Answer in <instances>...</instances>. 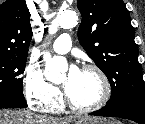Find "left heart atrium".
I'll use <instances>...</instances> for the list:
<instances>
[{"instance_id":"1","label":"left heart atrium","mask_w":145,"mask_h":124,"mask_svg":"<svg viewBox=\"0 0 145 124\" xmlns=\"http://www.w3.org/2000/svg\"><path fill=\"white\" fill-rule=\"evenodd\" d=\"M79 70L76 67H72L69 71V81L68 84H70L78 75ZM68 88V85L66 86Z\"/></svg>"}]
</instances>
